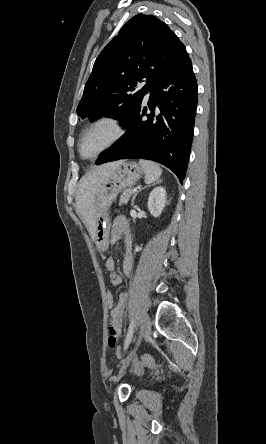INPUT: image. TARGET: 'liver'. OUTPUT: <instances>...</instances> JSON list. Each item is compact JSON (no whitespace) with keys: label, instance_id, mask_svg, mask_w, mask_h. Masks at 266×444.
<instances>
[{"label":"liver","instance_id":"6515ba94","mask_svg":"<svg viewBox=\"0 0 266 444\" xmlns=\"http://www.w3.org/2000/svg\"><path fill=\"white\" fill-rule=\"evenodd\" d=\"M122 161L111 162L99 166L81 178L78 184L76 204L82 215L88 231L95 239L94 228V198L99 187L105 182Z\"/></svg>","mask_w":266,"mask_h":444}]
</instances>
